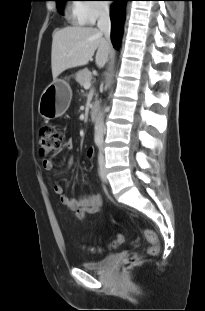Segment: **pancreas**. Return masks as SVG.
I'll return each mask as SVG.
<instances>
[{
  "mask_svg": "<svg viewBox=\"0 0 205 311\" xmlns=\"http://www.w3.org/2000/svg\"><path fill=\"white\" fill-rule=\"evenodd\" d=\"M75 79L81 86H84L85 82L91 81L92 73L88 69L80 70L76 74Z\"/></svg>",
  "mask_w": 205,
  "mask_h": 311,
  "instance_id": "obj_1",
  "label": "pancreas"
}]
</instances>
